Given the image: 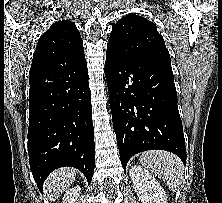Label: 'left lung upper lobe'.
<instances>
[{"label": "left lung upper lobe", "mask_w": 222, "mask_h": 203, "mask_svg": "<svg viewBox=\"0 0 222 203\" xmlns=\"http://www.w3.org/2000/svg\"><path fill=\"white\" fill-rule=\"evenodd\" d=\"M107 48L134 60H156L171 65L169 52L156 25L135 14L121 18L113 27Z\"/></svg>", "instance_id": "obj_1"}]
</instances>
